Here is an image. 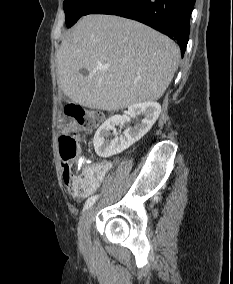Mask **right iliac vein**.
<instances>
[{
	"instance_id": "1",
	"label": "right iliac vein",
	"mask_w": 233,
	"mask_h": 284,
	"mask_svg": "<svg viewBox=\"0 0 233 284\" xmlns=\"http://www.w3.org/2000/svg\"><path fill=\"white\" fill-rule=\"evenodd\" d=\"M92 214H93V208L90 207L84 212L79 222L78 236L82 248H87L89 246V233H90Z\"/></svg>"
}]
</instances>
